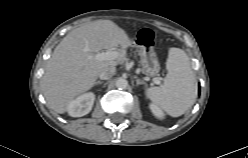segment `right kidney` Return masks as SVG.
Masks as SVG:
<instances>
[{"label": "right kidney", "mask_w": 248, "mask_h": 158, "mask_svg": "<svg viewBox=\"0 0 248 158\" xmlns=\"http://www.w3.org/2000/svg\"><path fill=\"white\" fill-rule=\"evenodd\" d=\"M94 100L93 92L84 93L69 103L67 112L72 117H82L92 110Z\"/></svg>", "instance_id": "ca27d5eb"}]
</instances>
